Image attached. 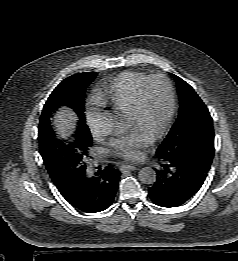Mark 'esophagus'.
<instances>
[{
  "label": "esophagus",
  "mask_w": 238,
  "mask_h": 261,
  "mask_svg": "<svg viewBox=\"0 0 238 261\" xmlns=\"http://www.w3.org/2000/svg\"><path fill=\"white\" fill-rule=\"evenodd\" d=\"M120 170H131V171H134V170H137V167H135L133 165L123 164V165H121Z\"/></svg>",
  "instance_id": "34e87169"
}]
</instances>
